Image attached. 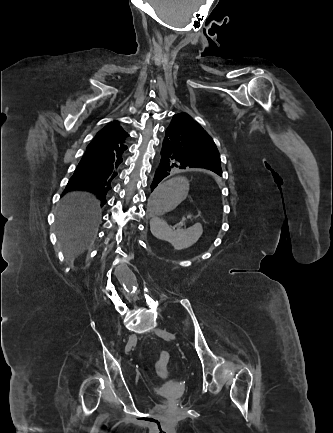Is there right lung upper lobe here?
<instances>
[{"label": "right lung upper lobe", "mask_w": 333, "mask_h": 433, "mask_svg": "<svg viewBox=\"0 0 333 433\" xmlns=\"http://www.w3.org/2000/svg\"><path fill=\"white\" fill-rule=\"evenodd\" d=\"M128 133L120 127L117 121H113L101 129L95 136L94 140L101 147H119L124 145Z\"/></svg>", "instance_id": "right-lung-upper-lobe-1"}]
</instances>
